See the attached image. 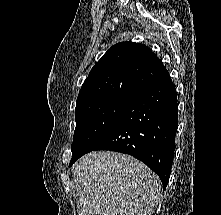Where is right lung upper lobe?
Listing matches in <instances>:
<instances>
[{"mask_svg":"<svg viewBox=\"0 0 221 215\" xmlns=\"http://www.w3.org/2000/svg\"><path fill=\"white\" fill-rule=\"evenodd\" d=\"M159 58L145 45H113L91 69L76 104L110 97L133 98L168 75Z\"/></svg>","mask_w":221,"mask_h":215,"instance_id":"obj_1","label":"right lung upper lobe"}]
</instances>
